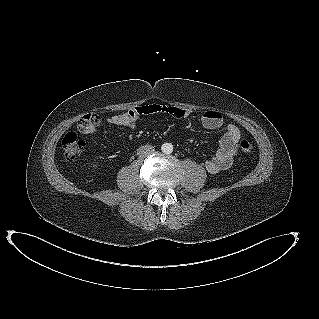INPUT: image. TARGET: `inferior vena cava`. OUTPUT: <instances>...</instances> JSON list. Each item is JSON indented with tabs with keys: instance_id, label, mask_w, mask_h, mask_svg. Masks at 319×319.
<instances>
[{
	"instance_id": "inferior-vena-cava-1",
	"label": "inferior vena cava",
	"mask_w": 319,
	"mask_h": 319,
	"mask_svg": "<svg viewBox=\"0 0 319 319\" xmlns=\"http://www.w3.org/2000/svg\"><path fill=\"white\" fill-rule=\"evenodd\" d=\"M155 149L152 145H143L138 148V156L139 157H146L149 156L150 154L154 153Z\"/></svg>"
}]
</instances>
